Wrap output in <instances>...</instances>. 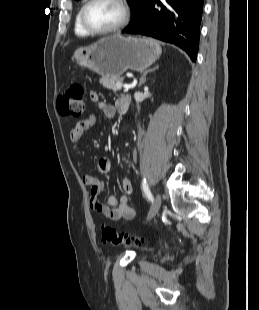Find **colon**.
Segmentation results:
<instances>
[{
    "mask_svg": "<svg viewBox=\"0 0 259 310\" xmlns=\"http://www.w3.org/2000/svg\"><path fill=\"white\" fill-rule=\"evenodd\" d=\"M85 91L82 85L71 83L66 86L57 97V107L64 115L80 116L84 110ZM101 239L103 242L119 245H137L144 244V240L133 235L118 232L111 226H104L101 229Z\"/></svg>",
    "mask_w": 259,
    "mask_h": 310,
    "instance_id": "1",
    "label": "colon"
}]
</instances>
